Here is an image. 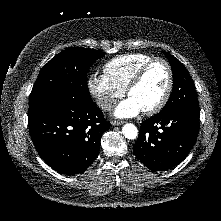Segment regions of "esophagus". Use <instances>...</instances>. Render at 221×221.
I'll use <instances>...</instances> for the list:
<instances>
[{"label": "esophagus", "mask_w": 221, "mask_h": 221, "mask_svg": "<svg viewBox=\"0 0 221 221\" xmlns=\"http://www.w3.org/2000/svg\"><path fill=\"white\" fill-rule=\"evenodd\" d=\"M111 124H112L113 126H119V125H122V124H123V121L113 120V121H111Z\"/></svg>", "instance_id": "obj_1"}]
</instances>
